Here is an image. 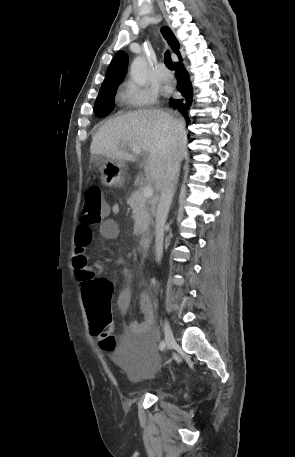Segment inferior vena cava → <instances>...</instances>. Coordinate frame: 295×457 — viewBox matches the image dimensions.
<instances>
[{"label":"inferior vena cava","instance_id":"obj_1","mask_svg":"<svg viewBox=\"0 0 295 457\" xmlns=\"http://www.w3.org/2000/svg\"><path fill=\"white\" fill-rule=\"evenodd\" d=\"M180 166V156L168 160L167 169L162 177L160 185V199L156 209L155 225V256L160 262L163 253L164 226L175 191Z\"/></svg>","mask_w":295,"mask_h":457}]
</instances>
